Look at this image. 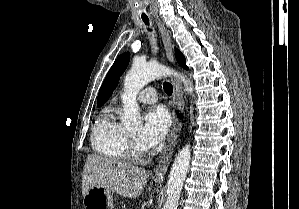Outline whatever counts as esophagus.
<instances>
[{
	"instance_id": "1",
	"label": "esophagus",
	"mask_w": 299,
	"mask_h": 209,
	"mask_svg": "<svg viewBox=\"0 0 299 209\" xmlns=\"http://www.w3.org/2000/svg\"><path fill=\"white\" fill-rule=\"evenodd\" d=\"M156 23H157L158 29L161 33V37H162L164 50H165L167 59L172 64H175L172 40L169 35V32L158 18H156ZM172 84L174 87V93H173L174 103L178 102L179 105L181 107H183L184 106L183 91H182L180 81L176 78H173ZM172 114H173V125H172L171 131H170L168 139H167V144L164 147V149L161 151V154L159 156L158 165L154 172V178L156 180H163V178L167 172V169L172 160V155L174 153L175 147L178 142L179 132L182 127V124H181V122H179V119L177 117L176 106H174Z\"/></svg>"
}]
</instances>
